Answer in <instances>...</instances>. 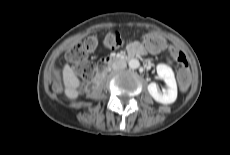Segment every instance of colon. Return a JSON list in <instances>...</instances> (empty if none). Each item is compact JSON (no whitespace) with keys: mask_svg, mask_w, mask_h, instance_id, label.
<instances>
[{"mask_svg":"<svg viewBox=\"0 0 230 155\" xmlns=\"http://www.w3.org/2000/svg\"><path fill=\"white\" fill-rule=\"evenodd\" d=\"M145 41L156 47H163L165 45L164 39L156 34L146 35ZM104 45L110 49L119 48L122 45L121 34L117 30L109 31L104 38ZM96 46L97 39L95 37H88L76 43L67 51V59L74 64L76 72L85 78H90L95 71V65L88 61L87 55L89 52L95 50ZM170 54L180 67L177 89L184 91L189 85L190 75L186 56L177 48H172Z\"/></svg>","mask_w":230,"mask_h":155,"instance_id":"1","label":"colon"}]
</instances>
